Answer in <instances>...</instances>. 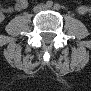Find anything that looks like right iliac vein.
Returning a JSON list of instances; mask_svg holds the SVG:
<instances>
[{"instance_id": "right-iliac-vein-1", "label": "right iliac vein", "mask_w": 91, "mask_h": 91, "mask_svg": "<svg viewBox=\"0 0 91 91\" xmlns=\"http://www.w3.org/2000/svg\"><path fill=\"white\" fill-rule=\"evenodd\" d=\"M40 9H41V7H37V8H36V10H40Z\"/></svg>"}]
</instances>
